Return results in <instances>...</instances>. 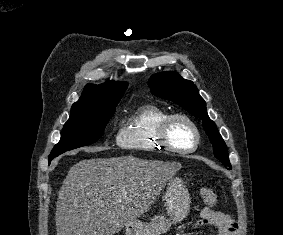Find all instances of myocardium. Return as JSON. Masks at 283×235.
Segmentation results:
<instances>
[{"instance_id": "obj_1", "label": "myocardium", "mask_w": 283, "mask_h": 235, "mask_svg": "<svg viewBox=\"0 0 283 235\" xmlns=\"http://www.w3.org/2000/svg\"><path fill=\"white\" fill-rule=\"evenodd\" d=\"M176 120L184 121L191 127L195 137L194 144L191 147L178 148L174 146L170 141L169 128L171 124ZM157 135L160 143L164 146V148H166L171 152L179 153V154H189L194 152L198 148L201 140L200 131L197 124L194 122V120L191 117L183 113L169 114L166 118H164V120L159 125Z\"/></svg>"}]
</instances>
